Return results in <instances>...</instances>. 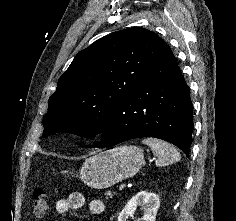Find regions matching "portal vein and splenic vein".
Masks as SVG:
<instances>
[{"mask_svg": "<svg viewBox=\"0 0 236 221\" xmlns=\"http://www.w3.org/2000/svg\"><path fill=\"white\" fill-rule=\"evenodd\" d=\"M125 187H126V183H122V184L119 186V191H122Z\"/></svg>", "mask_w": 236, "mask_h": 221, "instance_id": "portal-vein-and-splenic-vein-1", "label": "portal vein and splenic vein"}]
</instances>
